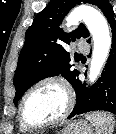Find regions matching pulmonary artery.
<instances>
[{
    "mask_svg": "<svg viewBox=\"0 0 116 134\" xmlns=\"http://www.w3.org/2000/svg\"><path fill=\"white\" fill-rule=\"evenodd\" d=\"M88 48H89V46H88V44L86 42L81 41V42H78L76 44V50L78 52H87Z\"/></svg>",
    "mask_w": 116,
    "mask_h": 134,
    "instance_id": "obj_1",
    "label": "pulmonary artery"
}]
</instances>
